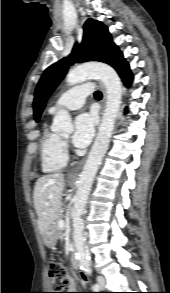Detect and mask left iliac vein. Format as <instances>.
<instances>
[{
    "label": "left iliac vein",
    "instance_id": "obj_1",
    "mask_svg": "<svg viewBox=\"0 0 170 293\" xmlns=\"http://www.w3.org/2000/svg\"><path fill=\"white\" fill-rule=\"evenodd\" d=\"M97 281H98V284H99L100 289H104L105 288V284H106L105 277L102 276V275H99L97 277Z\"/></svg>",
    "mask_w": 170,
    "mask_h": 293
}]
</instances>
